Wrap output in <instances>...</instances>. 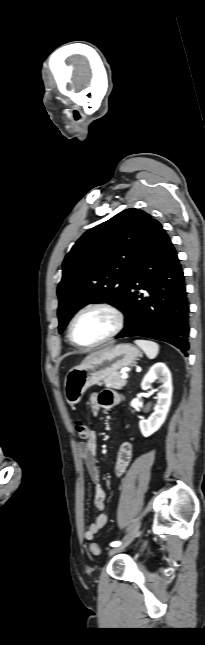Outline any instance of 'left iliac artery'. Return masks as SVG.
<instances>
[{"label": "left iliac artery", "mask_w": 205, "mask_h": 645, "mask_svg": "<svg viewBox=\"0 0 205 645\" xmlns=\"http://www.w3.org/2000/svg\"><path fill=\"white\" fill-rule=\"evenodd\" d=\"M119 545H121L120 541H114V542L110 543V546H112V547H118Z\"/></svg>", "instance_id": "1"}]
</instances>
